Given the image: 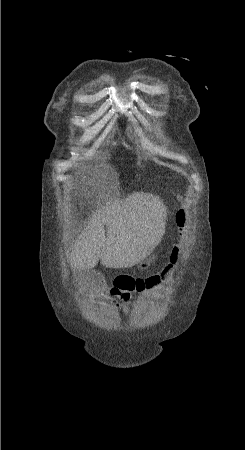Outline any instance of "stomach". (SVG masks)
<instances>
[{"label": "stomach", "mask_w": 245, "mask_h": 450, "mask_svg": "<svg viewBox=\"0 0 245 450\" xmlns=\"http://www.w3.org/2000/svg\"><path fill=\"white\" fill-rule=\"evenodd\" d=\"M156 257H157V255L153 254L152 256H149V258H146V259L140 261L136 265L138 266V268L146 269V268H148L150 266V264L152 262L155 261Z\"/></svg>", "instance_id": "obj_1"}]
</instances>
